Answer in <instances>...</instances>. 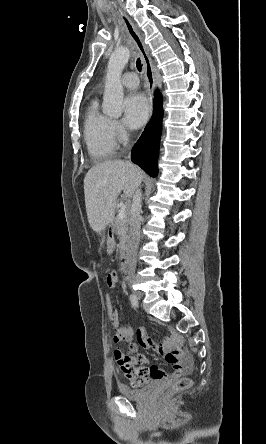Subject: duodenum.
Returning <instances> with one entry per match:
<instances>
[{
  "label": "duodenum",
  "instance_id": "duodenum-1",
  "mask_svg": "<svg viewBox=\"0 0 266 444\" xmlns=\"http://www.w3.org/2000/svg\"><path fill=\"white\" fill-rule=\"evenodd\" d=\"M112 237H113V235H112ZM121 270H122L124 273L127 271V263H126V261L123 262V264H122V266H121Z\"/></svg>",
  "mask_w": 266,
  "mask_h": 444
}]
</instances>
